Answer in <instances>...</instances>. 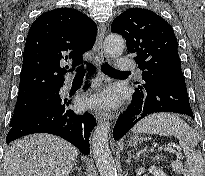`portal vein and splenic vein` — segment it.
<instances>
[{
	"instance_id": "1",
	"label": "portal vein and splenic vein",
	"mask_w": 205,
	"mask_h": 176,
	"mask_svg": "<svg viewBox=\"0 0 205 176\" xmlns=\"http://www.w3.org/2000/svg\"><path fill=\"white\" fill-rule=\"evenodd\" d=\"M161 150V149H160ZM165 151H167V152H170V153H175V154H178V152H177V150H175L174 148H172V147H167V148H165L164 149Z\"/></svg>"
}]
</instances>
